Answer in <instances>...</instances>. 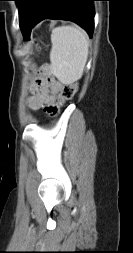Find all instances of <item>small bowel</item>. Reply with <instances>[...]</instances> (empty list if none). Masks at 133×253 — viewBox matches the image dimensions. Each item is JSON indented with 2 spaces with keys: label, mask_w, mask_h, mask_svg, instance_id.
<instances>
[{
  "label": "small bowel",
  "mask_w": 133,
  "mask_h": 253,
  "mask_svg": "<svg viewBox=\"0 0 133 253\" xmlns=\"http://www.w3.org/2000/svg\"><path fill=\"white\" fill-rule=\"evenodd\" d=\"M50 66V63H45L40 69H35V74H44ZM63 89L62 83L52 77H38L30 85L31 95L27 99V105L32 110L43 109L52 114Z\"/></svg>",
  "instance_id": "obj_1"
}]
</instances>
